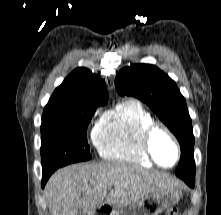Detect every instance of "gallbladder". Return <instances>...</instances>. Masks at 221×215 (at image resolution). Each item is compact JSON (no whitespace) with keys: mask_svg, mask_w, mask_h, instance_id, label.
<instances>
[{"mask_svg":"<svg viewBox=\"0 0 221 215\" xmlns=\"http://www.w3.org/2000/svg\"><path fill=\"white\" fill-rule=\"evenodd\" d=\"M79 215H87V214L80 212Z\"/></svg>","mask_w":221,"mask_h":215,"instance_id":"obj_1","label":"gallbladder"}]
</instances>
